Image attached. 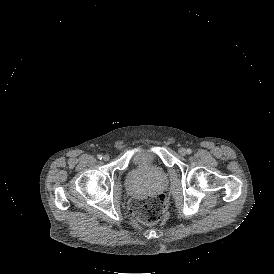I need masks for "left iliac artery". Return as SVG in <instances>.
I'll list each match as a JSON object with an SVG mask.
<instances>
[{
	"mask_svg": "<svg viewBox=\"0 0 274 274\" xmlns=\"http://www.w3.org/2000/svg\"><path fill=\"white\" fill-rule=\"evenodd\" d=\"M192 150L190 148L187 149V154H191Z\"/></svg>",
	"mask_w": 274,
	"mask_h": 274,
	"instance_id": "1",
	"label": "left iliac artery"
}]
</instances>
